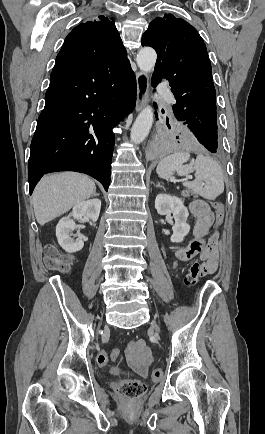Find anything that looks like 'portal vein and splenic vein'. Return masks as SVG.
I'll list each match as a JSON object with an SVG mask.
<instances>
[{"label":"portal vein and splenic vein","mask_w":265,"mask_h":434,"mask_svg":"<svg viewBox=\"0 0 265 434\" xmlns=\"http://www.w3.org/2000/svg\"><path fill=\"white\" fill-rule=\"evenodd\" d=\"M193 176H187L186 180H192Z\"/></svg>","instance_id":"18ae733b"}]
</instances>
